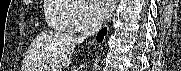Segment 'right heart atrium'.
<instances>
[{
	"instance_id": "1",
	"label": "right heart atrium",
	"mask_w": 181,
	"mask_h": 71,
	"mask_svg": "<svg viewBox=\"0 0 181 71\" xmlns=\"http://www.w3.org/2000/svg\"><path fill=\"white\" fill-rule=\"evenodd\" d=\"M70 9L66 12L65 18L70 32H81L91 29L96 19L88 9L83 0H57Z\"/></svg>"
}]
</instances>
